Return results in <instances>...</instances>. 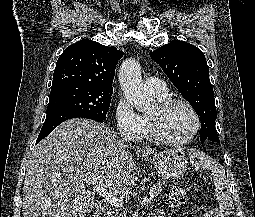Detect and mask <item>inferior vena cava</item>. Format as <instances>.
I'll return each instance as SVG.
<instances>
[{"mask_svg": "<svg viewBox=\"0 0 255 217\" xmlns=\"http://www.w3.org/2000/svg\"><path fill=\"white\" fill-rule=\"evenodd\" d=\"M127 141H129V138L127 136H122V142L124 143V142H127Z\"/></svg>", "mask_w": 255, "mask_h": 217, "instance_id": "1", "label": "inferior vena cava"}]
</instances>
